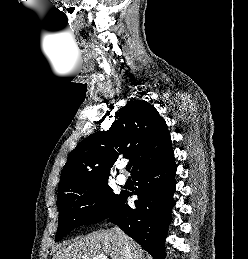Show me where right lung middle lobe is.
I'll list each match as a JSON object with an SVG mask.
<instances>
[{
	"instance_id": "right-lung-middle-lobe-1",
	"label": "right lung middle lobe",
	"mask_w": 248,
	"mask_h": 259,
	"mask_svg": "<svg viewBox=\"0 0 248 259\" xmlns=\"http://www.w3.org/2000/svg\"><path fill=\"white\" fill-rule=\"evenodd\" d=\"M123 192L112 193L107 181L95 185L82 186L58 197V242L72 229L81 225L95 224L113 216L120 204ZM95 204V208L91 205Z\"/></svg>"
}]
</instances>
